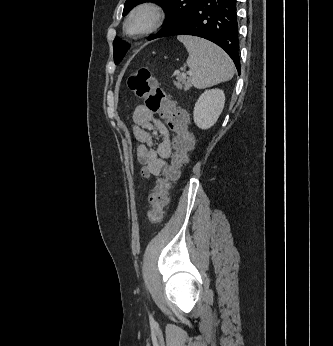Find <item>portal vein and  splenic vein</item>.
<instances>
[{
    "instance_id": "portal-vein-and-splenic-vein-1",
    "label": "portal vein and splenic vein",
    "mask_w": 333,
    "mask_h": 346,
    "mask_svg": "<svg viewBox=\"0 0 333 346\" xmlns=\"http://www.w3.org/2000/svg\"><path fill=\"white\" fill-rule=\"evenodd\" d=\"M187 73H188L189 75H192V72H191V71H188Z\"/></svg>"
}]
</instances>
